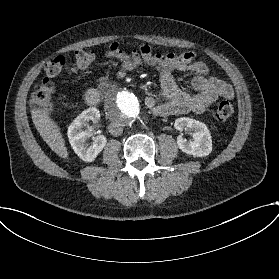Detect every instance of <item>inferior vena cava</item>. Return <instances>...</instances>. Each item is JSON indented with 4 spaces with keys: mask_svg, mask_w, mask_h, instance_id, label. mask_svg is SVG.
<instances>
[{
    "mask_svg": "<svg viewBox=\"0 0 279 279\" xmlns=\"http://www.w3.org/2000/svg\"><path fill=\"white\" fill-rule=\"evenodd\" d=\"M108 130L113 136H119L123 133V127L121 124L112 122L108 125Z\"/></svg>",
    "mask_w": 279,
    "mask_h": 279,
    "instance_id": "obj_1",
    "label": "inferior vena cava"
}]
</instances>
